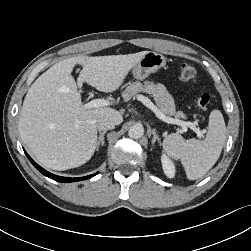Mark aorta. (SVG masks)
<instances>
[{"mask_svg": "<svg viewBox=\"0 0 251 251\" xmlns=\"http://www.w3.org/2000/svg\"><path fill=\"white\" fill-rule=\"evenodd\" d=\"M128 134L133 139H139L144 134V128L141 124H135L132 127H130Z\"/></svg>", "mask_w": 251, "mask_h": 251, "instance_id": "aorta-1", "label": "aorta"}]
</instances>
